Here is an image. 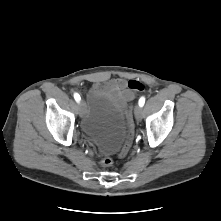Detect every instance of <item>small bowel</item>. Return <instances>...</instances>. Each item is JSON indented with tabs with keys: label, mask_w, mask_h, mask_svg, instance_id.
<instances>
[{
	"label": "small bowel",
	"mask_w": 221,
	"mask_h": 221,
	"mask_svg": "<svg viewBox=\"0 0 221 221\" xmlns=\"http://www.w3.org/2000/svg\"><path fill=\"white\" fill-rule=\"evenodd\" d=\"M106 87L109 88L115 98L123 105H127L134 97V95L127 90L126 81L121 78H114L105 83Z\"/></svg>",
	"instance_id": "obj_1"
}]
</instances>
